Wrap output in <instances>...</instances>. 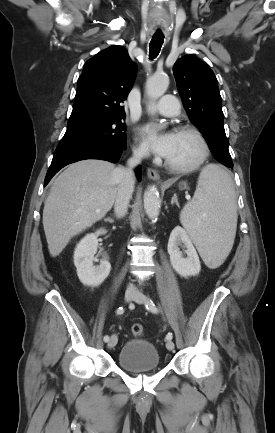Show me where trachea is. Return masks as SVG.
Listing matches in <instances>:
<instances>
[{
    "instance_id": "3493384b",
    "label": "trachea",
    "mask_w": 275,
    "mask_h": 433,
    "mask_svg": "<svg viewBox=\"0 0 275 433\" xmlns=\"http://www.w3.org/2000/svg\"><path fill=\"white\" fill-rule=\"evenodd\" d=\"M163 42H164L163 35H153L149 44V56L151 59H154L158 56Z\"/></svg>"
}]
</instances>
